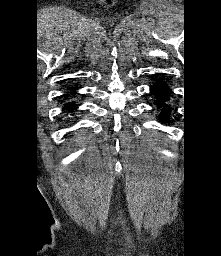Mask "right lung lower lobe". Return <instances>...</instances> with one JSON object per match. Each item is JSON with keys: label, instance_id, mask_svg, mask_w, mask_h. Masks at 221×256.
I'll list each match as a JSON object with an SVG mask.
<instances>
[{"label": "right lung lower lobe", "instance_id": "right-lung-lower-lobe-1", "mask_svg": "<svg viewBox=\"0 0 221 256\" xmlns=\"http://www.w3.org/2000/svg\"><path fill=\"white\" fill-rule=\"evenodd\" d=\"M77 105L74 102H69L65 104L64 109L67 111L75 110Z\"/></svg>", "mask_w": 221, "mask_h": 256}]
</instances>
